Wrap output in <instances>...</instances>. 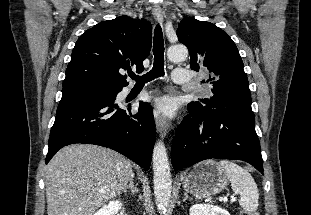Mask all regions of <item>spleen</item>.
Instances as JSON below:
<instances>
[{
    "mask_svg": "<svg viewBox=\"0 0 311 215\" xmlns=\"http://www.w3.org/2000/svg\"><path fill=\"white\" fill-rule=\"evenodd\" d=\"M218 164L223 168L232 190L241 195L240 206L247 212H255L259 205V191L251 174L229 160H221Z\"/></svg>",
    "mask_w": 311,
    "mask_h": 215,
    "instance_id": "spleen-1",
    "label": "spleen"
}]
</instances>
